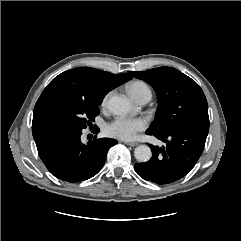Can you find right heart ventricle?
<instances>
[{
    "mask_svg": "<svg viewBox=\"0 0 241 241\" xmlns=\"http://www.w3.org/2000/svg\"><path fill=\"white\" fill-rule=\"evenodd\" d=\"M127 90L134 100L143 95H152L151 88L149 87V85L141 80H136L128 84Z\"/></svg>",
    "mask_w": 241,
    "mask_h": 241,
    "instance_id": "right-heart-ventricle-1",
    "label": "right heart ventricle"
}]
</instances>
